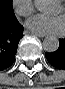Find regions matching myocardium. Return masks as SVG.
I'll return each mask as SVG.
<instances>
[{
    "label": "myocardium",
    "instance_id": "1",
    "mask_svg": "<svg viewBox=\"0 0 65 89\" xmlns=\"http://www.w3.org/2000/svg\"><path fill=\"white\" fill-rule=\"evenodd\" d=\"M61 9L65 13V6H61Z\"/></svg>",
    "mask_w": 65,
    "mask_h": 89
}]
</instances>
